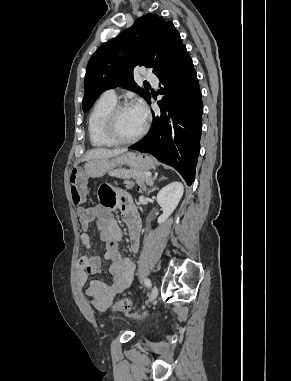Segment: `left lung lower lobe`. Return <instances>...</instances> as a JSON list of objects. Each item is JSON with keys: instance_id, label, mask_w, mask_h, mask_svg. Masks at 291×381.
Returning <instances> with one entry per match:
<instances>
[{"instance_id": "obj_1", "label": "left lung lower lobe", "mask_w": 291, "mask_h": 381, "mask_svg": "<svg viewBox=\"0 0 291 381\" xmlns=\"http://www.w3.org/2000/svg\"><path fill=\"white\" fill-rule=\"evenodd\" d=\"M166 96L158 103L161 115L153 114L149 133L130 149L149 153L174 167L191 185L200 150L202 97L193 62L186 47L157 76ZM150 104V101L148 102ZM168 109L169 116L166 115Z\"/></svg>"}]
</instances>
